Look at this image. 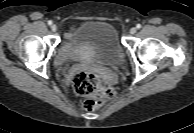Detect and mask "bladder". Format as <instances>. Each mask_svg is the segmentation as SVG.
<instances>
[{"instance_id":"bladder-1","label":"bladder","mask_w":194,"mask_h":133,"mask_svg":"<svg viewBox=\"0 0 194 133\" xmlns=\"http://www.w3.org/2000/svg\"><path fill=\"white\" fill-rule=\"evenodd\" d=\"M64 49L71 60L115 65L124 58L115 28L102 20L80 24L68 37Z\"/></svg>"}]
</instances>
